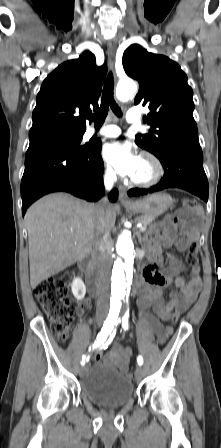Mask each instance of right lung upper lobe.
I'll list each match as a JSON object with an SVG mask.
<instances>
[{
	"label": "right lung upper lobe",
	"mask_w": 221,
	"mask_h": 448,
	"mask_svg": "<svg viewBox=\"0 0 221 448\" xmlns=\"http://www.w3.org/2000/svg\"><path fill=\"white\" fill-rule=\"evenodd\" d=\"M106 72V65L98 67L95 56L85 51L50 73L37 95L29 148L84 134L87 114L98 108Z\"/></svg>",
	"instance_id": "right-lung-upper-lobe-1"
}]
</instances>
